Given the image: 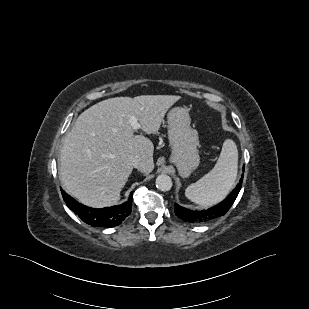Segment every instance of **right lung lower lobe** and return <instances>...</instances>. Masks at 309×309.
I'll list each match as a JSON object with an SVG mask.
<instances>
[{"label":"right lung lower lobe","instance_id":"1","mask_svg":"<svg viewBox=\"0 0 309 309\" xmlns=\"http://www.w3.org/2000/svg\"><path fill=\"white\" fill-rule=\"evenodd\" d=\"M62 196L69 209L78 215L81 220L93 227L118 226L127 216L130 215L132 210V194L126 203L118 206L106 207L103 209H94L84 206L78 203L74 198H72L63 190Z\"/></svg>","mask_w":309,"mask_h":309}]
</instances>
